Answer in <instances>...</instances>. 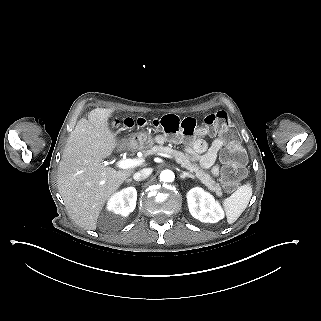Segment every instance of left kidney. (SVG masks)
<instances>
[{
	"mask_svg": "<svg viewBox=\"0 0 321 321\" xmlns=\"http://www.w3.org/2000/svg\"><path fill=\"white\" fill-rule=\"evenodd\" d=\"M190 214L201 222L216 223L224 218V211L214 197L201 187H194L187 193Z\"/></svg>",
	"mask_w": 321,
	"mask_h": 321,
	"instance_id": "obj_1",
	"label": "left kidney"
}]
</instances>
